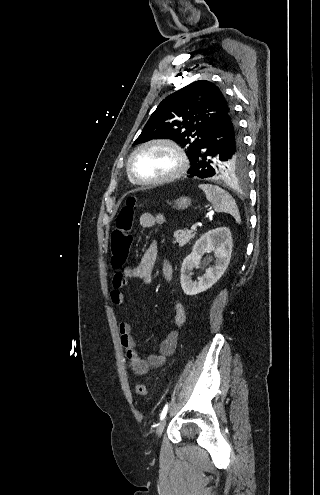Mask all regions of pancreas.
<instances>
[{"label": "pancreas", "mask_w": 320, "mask_h": 495, "mask_svg": "<svg viewBox=\"0 0 320 495\" xmlns=\"http://www.w3.org/2000/svg\"><path fill=\"white\" fill-rule=\"evenodd\" d=\"M173 237L175 241L178 242L179 246L182 247L195 237V232L177 230L174 232Z\"/></svg>", "instance_id": "obj_1"}]
</instances>
